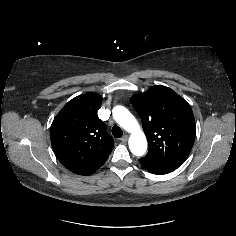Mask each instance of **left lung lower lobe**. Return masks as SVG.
<instances>
[{"label": "left lung lower lobe", "mask_w": 236, "mask_h": 236, "mask_svg": "<svg viewBox=\"0 0 236 236\" xmlns=\"http://www.w3.org/2000/svg\"><path fill=\"white\" fill-rule=\"evenodd\" d=\"M139 161L146 170H148L150 173H153V174L163 175V174H167V173L172 172L173 170H175V169H172V168L154 167V166H151L149 164H146V163L142 162L141 160H139Z\"/></svg>", "instance_id": "1"}]
</instances>
